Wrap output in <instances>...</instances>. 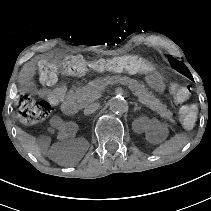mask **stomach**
Masks as SVG:
<instances>
[{"label":"stomach","instance_id":"1","mask_svg":"<svg viewBox=\"0 0 211 211\" xmlns=\"http://www.w3.org/2000/svg\"><path fill=\"white\" fill-rule=\"evenodd\" d=\"M147 84L153 89L162 92L164 90V84L160 77L156 75H151L146 78Z\"/></svg>","mask_w":211,"mask_h":211}]
</instances>
